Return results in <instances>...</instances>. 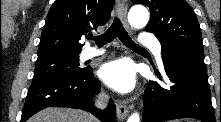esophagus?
<instances>
[{"label":"esophagus","instance_id":"obj_1","mask_svg":"<svg viewBox=\"0 0 221 122\" xmlns=\"http://www.w3.org/2000/svg\"><path fill=\"white\" fill-rule=\"evenodd\" d=\"M118 12L120 20L124 26V28L129 32L130 26L127 22V3L125 0H118ZM116 110H117V116L120 120H124L128 113H129V107L127 106L126 102L124 101H115Z\"/></svg>","mask_w":221,"mask_h":122}]
</instances>
